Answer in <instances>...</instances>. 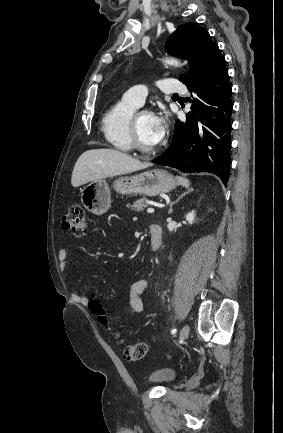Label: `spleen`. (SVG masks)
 Listing matches in <instances>:
<instances>
[{"instance_id": "1", "label": "spleen", "mask_w": 283, "mask_h": 433, "mask_svg": "<svg viewBox=\"0 0 283 433\" xmlns=\"http://www.w3.org/2000/svg\"><path fill=\"white\" fill-rule=\"evenodd\" d=\"M177 180H179V184H182V186H189L190 182L188 178H183V176H177Z\"/></svg>"}]
</instances>
